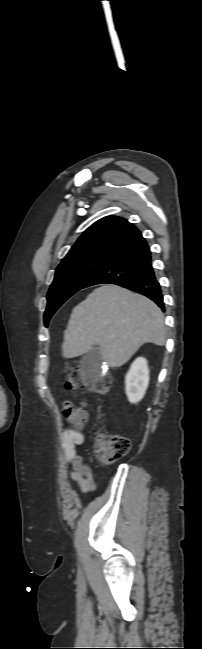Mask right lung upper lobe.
<instances>
[{
	"label": "right lung upper lobe",
	"instance_id": "right-lung-upper-lobe-1",
	"mask_svg": "<svg viewBox=\"0 0 202 649\" xmlns=\"http://www.w3.org/2000/svg\"><path fill=\"white\" fill-rule=\"evenodd\" d=\"M143 240L141 232L133 224L117 216H107L87 228L65 258L88 252L116 255Z\"/></svg>",
	"mask_w": 202,
	"mask_h": 649
}]
</instances>
